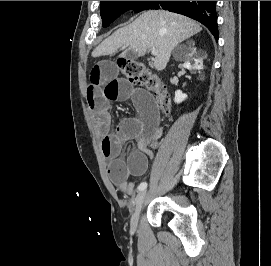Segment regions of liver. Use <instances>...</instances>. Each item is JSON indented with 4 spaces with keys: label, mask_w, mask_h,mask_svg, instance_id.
Returning <instances> with one entry per match:
<instances>
[{
    "label": "liver",
    "mask_w": 271,
    "mask_h": 266,
    "mask_svg": "<svg viewBox=\"0 0 271 266\" xmlns=\"http://www.w3.org/2000/svg\"><path fill=\"white\" fill-rule=\"evenodd\" d=\"M201 30L198 23L180 14L149 10L105 39L96 47L92 56L114 55L121 47L129 48L140 56L150 48L157 49L154 67L161 71L166 68L174 47Z\"/></svg>",
    "instance_id": "6515ba94"
}]
</instances>
